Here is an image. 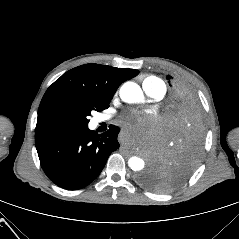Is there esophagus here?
<instances>
[{"instance_id":"34e87169","label":"esophagus","mask_w":239,"mask_h":239,"mask_svg":"<svg viewBox=\"0 0 239 239\" xmlns=\"http://www.w3.org/2000/svg\"><path fill=\"white\" fill-rule=\"evenodd\" d=\"M117 140H118L119 142H124V141L126 140V135H125L124 133H122V132H119V133L117 134Z\"/></svg>"}]
</instances>
